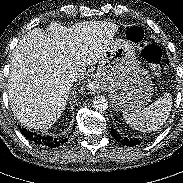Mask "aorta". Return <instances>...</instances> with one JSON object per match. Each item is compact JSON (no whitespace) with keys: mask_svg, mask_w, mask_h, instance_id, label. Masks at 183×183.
Returning <instances> with one entry per match:
<instances>
[{"mask_svg":"<svg viewBox=\"0 0 183 183\" xmlns=\"http://www.w3.org/2000/svg\"><path fill=\"white\" fill-rule=\"evenodd\" d=\"M92 107L99 112H104L108 108V101L103 96H97L92 101Z\"/></svg>","mask_w":183,"mask_h":183,"instance_id":"762f6f07","label":"aorta"}]
</instances>
